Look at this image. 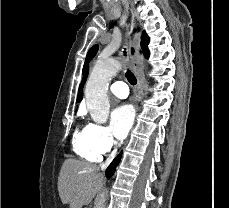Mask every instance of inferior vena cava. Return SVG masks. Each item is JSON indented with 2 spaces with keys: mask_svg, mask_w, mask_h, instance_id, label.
Listing matches in <instances>:
<instances>
[{
  "mask_svg": "<svg viewBox=\"0 0 229 208\" xmlns=\"http://www.w3.org/2000/svg\"><path fill=\"white\" fill-rule=\"evenodd\" d=\"M110 162H112V158H108L106 164H110Z\"/></svg>",
  "mask_w": 229,
  "mask_h": 208,
  "instance_id": "obj_1",
  "label": "inferior vena cava"
}]
</instances>
